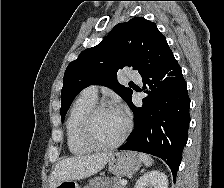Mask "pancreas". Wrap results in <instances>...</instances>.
<instances>
[{
	"instance_id": "1",
	"label": "pancreas",
	"mask_w": 224,
	"mask_h": 188,
	"mask_svg": "<svg viewBox=\"0 0 224 188\" xmlns=\"http://www.w3.org/2000/svg\"><path fill=\"white\" fill-rule=\"evenodd\" d=\"M84 188H124L118 178L96 177Z\"/></svg>"
}]
</instances>
